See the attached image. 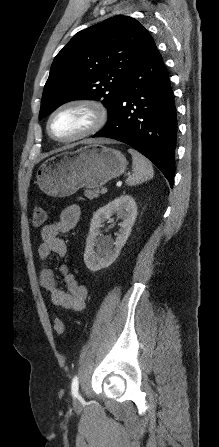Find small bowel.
<instances>
[{
	"label": "small bowel",
	"mask_w": 219,
	"mask_h": 447,
	"mask_svg": "<svg viewBox=\"0 0 219 447\" xmlns=\"http://www.w3.org/2000/svg\"><path fill=\"white\" fill-rule=\"evenodd\" d=\"M80 217V207L76 204L65 207L59 218L42 227L41 243L38 253L42 262L39 273V284L48 294L53 305L64 310L82 312L86 308L88 288L77 282L67 266L62 265L59 271L66 285V290L57 286L53 269L46 263L51 254L63 257L67 253V245L60 234L66 233L77 225Z\"/></svg>",
	"instance_id": "c3829d8e"
}]
</instances>
